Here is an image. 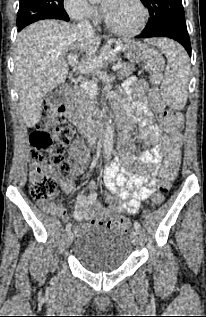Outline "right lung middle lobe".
<instances>
[{"mask_svg": "<svg viewBox=\"0 0 206 317\" xmlns=\"http://www.w3.org/2000/svg\"><path fill=\"white\" fill-rule=\"evenodd\" d=\"M68 17L63 8V0H20L17 13L18 31L42 19H62Z\"/></svg>", "mask_w": 206, "mask_h": 317, "instance_id": "obj_1", "label": "right lung middle lobe"}]
</instances>
